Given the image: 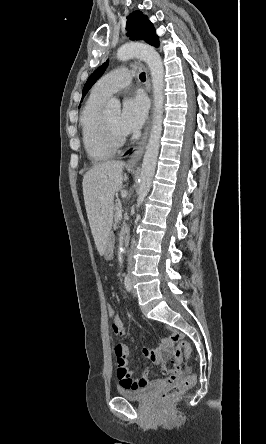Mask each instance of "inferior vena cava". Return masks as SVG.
I'll return each mask as SVG.
<instances>
[{
  "instance_id": "602c4592",
  "label": "inferior vena cava",
  "mask_w": 266,
  "mask_h": 444,
  "mask_svg": "<svg viewBox=\"0 0 266 444\" xmlns=\"http://www.w3.org/2000/svg\"><path fill=\"white\" fill-rule=\"evenodd\" d=\"M133 244H134V240H132V246H133ZM132 268H133V261H132V258L129 257L128 258V270L130 271V270H132Z\"/></svg>"
}]
</instances>
